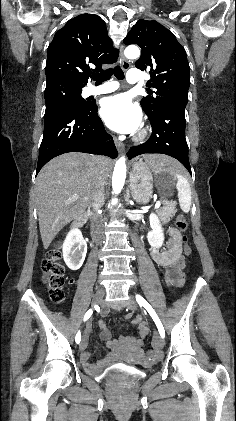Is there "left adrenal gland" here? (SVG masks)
Wrapping results in <instances>:
<instances>
[{
    "label": "left adrenal gland",
    "instance_id": "1",
    "mask_svg": "<svg viewBox=\"0 0 236 421\" xmlns=\"http://www.w3.org/2000/svg\"><path fill=\"white\" fill-rule=\"evenodd\" d=\"M125 200H126V204H129V200H130V186L126 190Z\"/></svg>",
    "mask_w": 236,
    "mask_h": 421
}]
</instances>
